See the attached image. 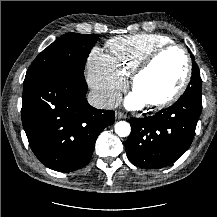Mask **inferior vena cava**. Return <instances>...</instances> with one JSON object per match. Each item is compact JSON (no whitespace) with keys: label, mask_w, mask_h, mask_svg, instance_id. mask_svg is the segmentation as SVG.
<instances>
[{"label":"inferior vena cava","mask_w":217,"mask_h":217,"mask_svg":"<svg viewBox=\"0 0 217 217\" xmlns=\"http://www.w3.org/2000/svg\"><path fill=\"white\" fill-rule=\"evenodd\" d=\"M88 103L97 109H113L120 104L117 93L92 90L87 96Z\"/></svg>","instance_id":"inferior-vena-cava-1"}]
</instances>
